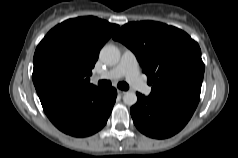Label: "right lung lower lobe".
Listing matches in <instances>:
<instances>
[{
	"instance_id": "98d812e1",
	"label": "right lung lower lobe",
	"mask_w": 238,
	"mask_h": 158,
	"mask_svg": "<svg viewBox=\"0 0 238 158\" xmlns=\"http://www.w3.org/2000/svg\"><path fill=\"white\" fill-rule=\"evenodd\" d=\"M50 121L62 132L85 137L102 129L116 100L115 88L63 89L44 87L37 91Z\"/></svg>"
}]
</instances>
